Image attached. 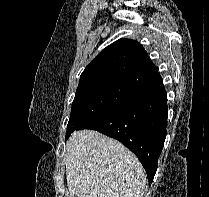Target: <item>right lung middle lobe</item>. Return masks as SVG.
I'll return each instance as SVG.
<instances>
[{
  "instance_id": "obj_1",
  "label": "right lung middle lobe",
  "mask_w": 209,
  "mask_h": 197,
  "mask_svg": "<svg viewBox=\"0 0 209 197\" xmlns=\"http://www.w3.org/2000/svg\"><path fill=\"white\" fill-rule=\"evenodd\" d=\"M137 92L136 89L113 81L79 82L72 103L66 139L74 130Z\"/></svg>"
}]
</instances>
